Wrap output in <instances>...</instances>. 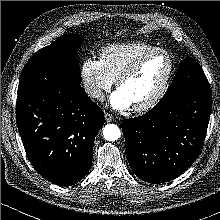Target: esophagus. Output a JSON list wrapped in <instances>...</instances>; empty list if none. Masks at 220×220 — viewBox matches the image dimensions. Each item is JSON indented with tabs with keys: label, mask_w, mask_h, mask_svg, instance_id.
<instances>
[{
	"label": "esophagus",
	"mask_w": 220,
	"mask_h": 220,
	"mask_svg": "<svg viewBox=\"0 0 220 220\" xmlns=\"http://www.w3.org/2000/svg\"><path fill=\"white\" fill-rule=\"evenodd\" d=\"M105 120L107 122H113L115 120V117L109 113H105Z\"/></svg>",
	"instance_id": "esophagus-1"
}]
</instances>
